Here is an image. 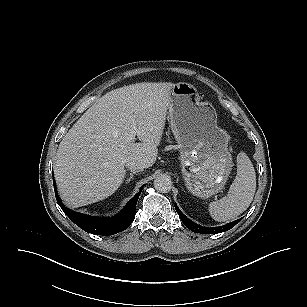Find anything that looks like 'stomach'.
Instances as JSON below:
<instances>
[{
    "mask_svg": "<svg viewBox=\"0 0 307 307\" xmlns=\"http://www.w3.org/2000/svg\"><path fill=\"white\" fill-rule=\"evenodd\" d=\"M168 110L187 189L201 198L217 194L231 172L232 157L215 108L201 101L193 85L180 82L171 89Z\"/></svg>",
    "mask_w": 307,
    "mask_h": 307,
    "instance_id": "obj_1",
    "label": "stomach"
}]
</instances>
